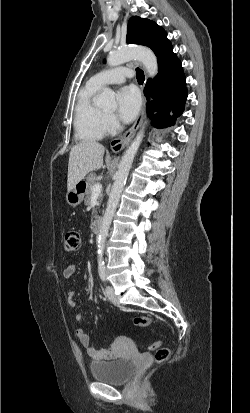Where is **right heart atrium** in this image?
I'll return each mask as SVG.
<instances>
[{"instance_id": "right-heart-atrium-1", "label": "right heart atrium", "mask_w": 250, "mask_h": 413, "mask_svg": "<svg viewBox=\"0 0 250 413\" xmlns=\"http://www.w3.org/2000/svg\"><path fill=\"white\" fill-rule=\"evenodd\" d=\"M104 128L106 133H113L118 130L119 122L112 113H106L104 118Z\"/></svg>"}]
</instances>
